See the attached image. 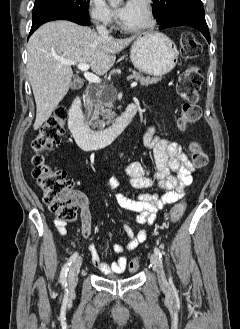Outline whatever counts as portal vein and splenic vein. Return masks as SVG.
I'll return each mask as SVG.
<instances>
[{
  "label": "portal vein and splenic vein",
  "mask_w": 240,
  "mask_h": 329,
  "mask_svg": "<svg viewBox=\"0 0 240 329\" xmlns=\"http://www.w3.org/2000/svg\"><path fill=\"white\" fill-rule=\"evenodd\" d=\"M59 61L63 64L66 65H77L78 69H80L86 80H88L91 83H96L99 84L101 83V79L97 76L94 75L93 73L88 72V69L90 68V65L87 63H76L74 61H70V60H64V59H59ZM132 88L137 86V82H132L130 85Z\"/></svg>",
  "instance_id": "18ae733b"
}]
</instances>
